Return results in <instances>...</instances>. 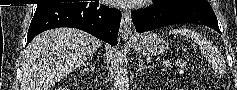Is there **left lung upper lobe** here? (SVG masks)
Returning <instances> with one entry per match:
<instances>
[{"instance_id": "obj_1", "label": "left lung upper lobe", "mask_w": 237, "mask_h": 90, "mask_svg": "<svg viewBox=\"0 0 237 90\" xmlns=\"http://www.w3.org/2000/svg\"><path fill=\"white\" fill-rule=\"evenodd\" d=\"M166 5H183L193 8L212 10L207 0H158Z\"/></svg>"}]
</instances>
